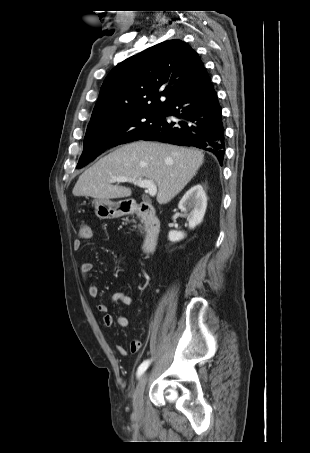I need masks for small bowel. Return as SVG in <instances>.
<instances>
[{"instance_id":"obj_1","label":"small bowel","mask_w":310,"mask_h":453,"mask_svg":"<svg viewBox=\"0 0 310 453\" xmlns=\"http://www.w3.org/2000/svg\"><path fill=\"white\" fill-rule=\"evenodd\" d=\"M91 238V235L87 238H84V239H89ZM73 248L75 251H79L81 250L82 248V239L81 238H78V239H75L74 242H73ZM92 268H93V264L92 262L90 261H83L81 264H80V273L82 275V277L86 280L89 276V274L91 273L92 271ZM87 291H88V294L90 297L92 298H96L98 297L99 295V289L97 287V285L93 284V283H90L88 284V287H87ZM111 301L113 304L115 305H124V306H129L132 304V297L123 293V292H120V291H117V292H114L112 295H111ZM97 310L99 313H101L103 316H102V322H103V325L107 328H111L114 326V324L116 323L118 326L120 327H128L130 322H129V319L125 316H114L112 315L110 312H109V308L107 306L106 303L104 302H99L96 306ZM142 348V342L141 340L139 339H134L132 342H131V345H130V350L133 354L135 353H138ZM115 350L117 352L118 355L120 356H126L127 355V350L124 346L122 345H116L115 346Z\"/></svg>"}]
</instances>
